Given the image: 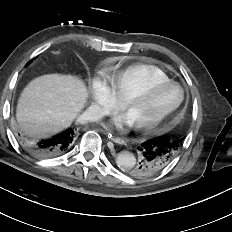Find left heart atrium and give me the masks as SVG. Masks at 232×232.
Returning <instances> with one entry per match:
<instances>
[{
  "instance_id": "left-heart-atrium-1",
  "label": "left heart atrium",
  "mask_w": 232,
  "mask_h": 232,
  "mask_svg": "<svg viewBox=\"0 0 232 232\" xmlns=\"http://www.w3.org/2000/svg\"><path fill=\"white\" fill-rule=\"evenodd\" d=\"M112 124L118 128H121L123 126H133L134 125L133 121L128 113H124V114L116 116L113 119Z\"/></svg>"
}]
</instances>
